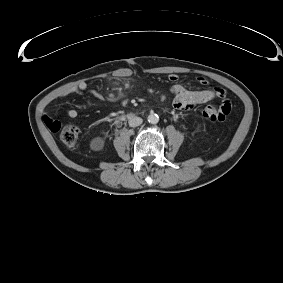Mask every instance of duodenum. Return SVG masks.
<instances>
[{
  "label": "duodenum",
  "mask_w": 283,
  "mask_h": 283,
  "mask_svg": "<svg viewBox=\"0 0 283 283\" xmlns=\"http://www.w3.org/2000/svg\"><path fill=\"white\" fill-rule=\"evenodd\" d=\"M133 117H134V114H129V115L126 116L127 119H130V118H133Z\"/></svg>",
  "instance_id": "obj_1"
}]
</instances>
